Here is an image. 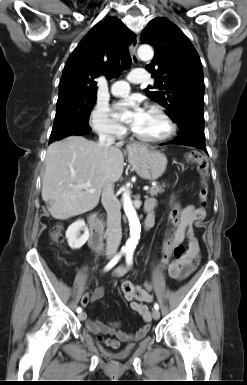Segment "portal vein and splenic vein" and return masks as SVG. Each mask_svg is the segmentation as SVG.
Returning a JSON list of instances; mask_svg holds the SVG:
<instances>
[{"mask_svg": "<svg viewBox=\"0 0 247 385\" xmlns=\"http://www.w3.org/2000/svg\"><path fill=\"white\" fill-rule=\"evenodd\" d=\"M77 188H82V189H85L88 193H93L94 192V189H91L90 188V183H85V184H81V185H77L76 186ZM144 191H148L149 190V187L148 186H145L143 188Z\"/></svg>", "mask_w": 247, "mask_h": 385, "instance_id": "obj_1", "label": "portal vein and splenic vein"}]
</instances>
